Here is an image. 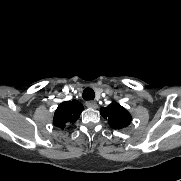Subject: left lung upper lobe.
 Listing matches in <instances>:
<instances>
[{
	"mask_svg": "<svg viewBox=\"0 0 181 181\" xmlns=\"http://www.w3.org/2000/svg\"><path fill=\"white\" fill-rule=\"evenodd\" d=\"M100 113L108 120L110 127L113 129L125 128L132 121L131 114L116 101H113L107 107H102Z\"/></svg>",
	"mask_w": 181,
	"mask_h": 181,
	"instance_id": "5c2ea615",
	"label": "left lung upper lobe"
}]
</instances>
